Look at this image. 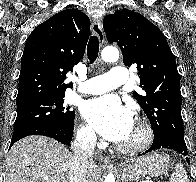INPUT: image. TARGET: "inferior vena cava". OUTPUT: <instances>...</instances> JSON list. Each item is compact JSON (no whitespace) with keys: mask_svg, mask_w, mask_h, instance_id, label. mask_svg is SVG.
<instances>
[{"mask_svg":"<svg viewBox=\"0 0 196 182\" xmlns=\"http://www.w3.org/2000/svg\"><path fill=\"white\" fill-rule=\"evenodd\" d=\"M96 145V135L93 131H87L77 135L71 143L73 151L70 161V182H87V168L89 159L93 156Z\"/></svg>","mask_w":196,"mask_h":182,"instance_id":"inferior-vena-cava-1","label":"inferior vena cava"}]
</instances>
